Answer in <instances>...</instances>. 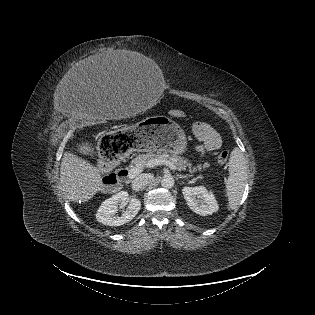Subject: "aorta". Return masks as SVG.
Returning a JSON list of instances; mask_svg holds the SVG:
<instances>
[{
    "label": "aorta",
    "instance_id": "obj_1",
    "mask_svg": "<svg viewBox=\"0 0 315 315\" xmlns=\"http://www.w3.org/2000/svg\"><path fill=\"white\" fill-rule=\"evenodd\" d=\"M175 184V180L171 175H164L161 179V186L164 188H172Z\"/></svg>",
    "mask_w": 315,
    "mask_h": 315
}]
</instances>
